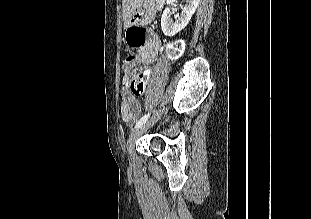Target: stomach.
<instances>
[{"label":"stomach","instance_id":"stomach-1","mask_svg":"<svg viewBox=\"0 0 311 219\" xmlns=\"http://www.w3.org/2000/svg\"><path fill=\"white\" fill-rule=\"evenodd\" d=\"M155 1L156 0H137V7L128 19V23L132 25L150 24L156 13Z\"/></svg>","mask_w":311,"mask_h":219}]
</instances>
